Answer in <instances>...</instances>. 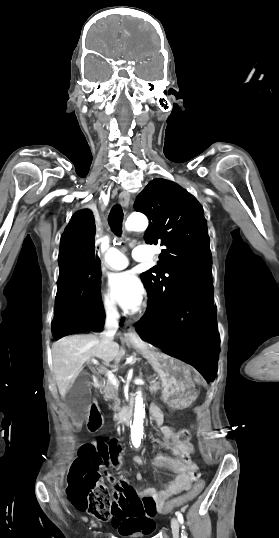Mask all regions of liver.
Instances as JSON below:
<instances>
[{
    "label": "liver",
    "instance_id": "1",
    "mask_svg": "<svg viewBox=\"0 0 279 538\" xmlns=\"http://www.w3.org/2000/svg\"><path fill=\"white\" fill-rule=\"evenodd\" d=\"M119 354L116 342L104 344L96 336H66L52 346L53 372L60 396L65 398L68 388L79 376L83 364L92 356L101 358L106 364Z\"/></svg>",
    "mask_w": 279,
    "mask_h": 538
}]
</instances>
